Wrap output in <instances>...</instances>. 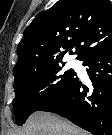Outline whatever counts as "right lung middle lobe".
<instances>
[{"label":"right lung middle lobe","mask_w":112,"mask_h":135,"mask_svg":"<svg viewBox=\"0 0 112 135\" xmlns=\"http://www.w3.org/2000/svg\"><path fill=\"white\" fill-rule=\"evenodd\" d=\"M62 61L47 64L42 69L14 80L16 97L13 107L17 124L23 125L27 118L42 106L59 96L74 80L73 69L64 71Z\"/></svg>","instance_id":"obj_1"}]
</instances>
